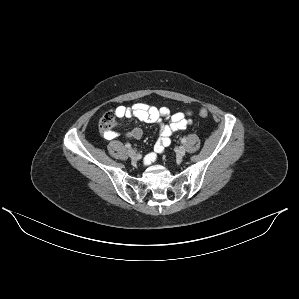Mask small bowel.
I'll return each instance as SVG.
<instances>
[{
	"label": "small bowel",
	"mask_w": 299,
	"mask_h": 299,
	"mask_svg": "<svg viewBox=\"0 0 299 299\" xmlns=\"http://www.w3.org/2000/svg\"><path fill=\"white\" fill-rule=\"evenodd\" d=\"M115 115L119 118L135 117L140 121L156 123L158 125L159 139L155 142L153 151L144 159L147 165L154 163L171 145L172 136L175 133L184 131L190 122L188 118L189 113L185 112L172 114L166 122L164 119L169 116L167 108H157L143 103H138L131 107L118 106L115 109ZM104 136L106 139H114L118 136V133L110 131L104 133ZM124 137L138 140L142 137V130L138 127L132 128L124 133Z\"/></svg>",
	"instance_id": "obj_1"
}]
</instances>
